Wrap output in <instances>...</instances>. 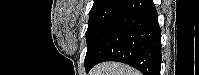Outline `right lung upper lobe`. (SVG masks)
I'll return each instance as SVG.
<instances>
[{
  "label": "right lung upper lobe",
  "mask_w": 199,
  "mask_h": 75,
  "mask_svg": "<svg viewBox=\"0 0 199 75\" xmlns=\"http://www.w3.org/2000/svg\"><path fill=\"white\" fill-rule=\"evenodd\" d=\"M108 1H110V0H94L93 6H97L99 4H102V3H105V2H108Z\"/></svg>",
  "instance_id": "1"
}]
</instances>
